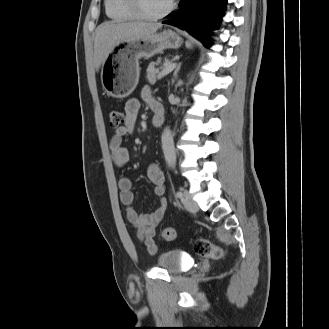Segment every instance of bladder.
Instances as JSON below:
<instances>
[{"label": "bladder", "instance_id": "31cf9c89", "mask_svg": "<svg viewBox=\"0 0 329 329\" xmlns=\"http://www.w3.org/2000/svg\"><path fill=\"white\" fill-rule=\"evenodd\" d=\"M157 265L163 270L179 274L186 269V260L182 252L178 250H167L159 254Z\"/></svg>", "mask_w": 329, "mask_h": 329}]
</instances>
